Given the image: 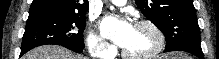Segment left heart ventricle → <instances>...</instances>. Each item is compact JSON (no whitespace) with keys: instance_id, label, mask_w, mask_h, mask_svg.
<instances>
[{"instance_id":"b2bd125f","label":"left heart ventricle","mask_w":219,"mask_h":59,"mask_svg":"<svg viewBox=\"0 0 219 59\" xmlns=\"http://www.w3.org/2000/svg\"><path fill=\"white\" fill-rule=\"evenodd\" d=\"M155 44L156 38L150 29L135 26L131 37L123 48L128 53L140 55L152 50Z\"/></svg>"}]
</instances>
